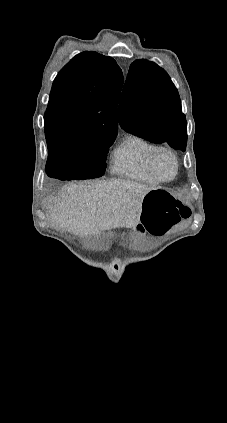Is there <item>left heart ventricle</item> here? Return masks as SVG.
Listing matches in <instances>:
<instances>
[{"label": "left heart ventricle", "instance_id": "b2bd125f", "mask_svg": "<svg viewBox=\"0 0 227 423\" xmlns=\"http://www.w3.org/2000/svg\"><path fill=\"white\" fill-rule=\"evenodd\" d=\"M156 165L160 173L165 178H171L175 171L174 161L171 156L166 152H159L156 155Z\"/></svg>", "mask_w": 227, "mask_h": 423}]
</instances>
